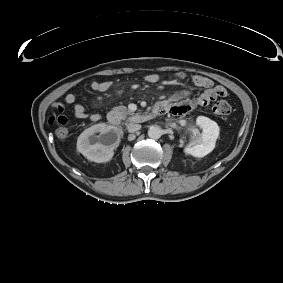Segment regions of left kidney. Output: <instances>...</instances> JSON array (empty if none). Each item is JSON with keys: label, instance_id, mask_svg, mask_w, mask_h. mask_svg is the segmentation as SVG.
I'll use <instances>...</instances> for the list:
<instances>
[{"label": "left kidney", "instance_id": "obj_1", "mask_svg": "<svg viewBox=\"0 0 283 283\" xmlns=\"http://www.w3.org/2000/svg\"><path fill=\"white\" fill-rule=\"evenodd\" d=\"M196 124L202 129V133L193 134L191 142L184 148V152L202 158L215 148L220 128L215 121L205 116H198Z\"/></svg>", "mask_w": 283, "mask_h": 283}]
</instances>
